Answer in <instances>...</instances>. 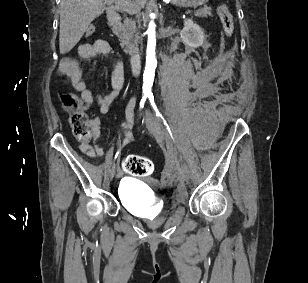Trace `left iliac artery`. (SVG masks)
<instances>
[{"label": "left iliac artery", "mask_w": 308, "mask_h": 283, "mask_svg": "<svg viewBox=\"0 0 308 283\" xmlns=\"http://www.w3.org/2000/svg\"><path fill=\"white\" fill-rule=\"evenodd\" d=\"M147 97L149 98L151 104L153 105L155 111H156V117L158 119V121H160L163 126L165 127L166 131L169 133V135L171 136L173 142H175V137H174V132L172 130V128H170V126L168 125L167 121L164 119V117L161 115V113L157 110L156 105L154 103V97L152 95L151 92H147L146 93Z\"/></svg>", "instance_id": "obj_1"}]
</instances>
